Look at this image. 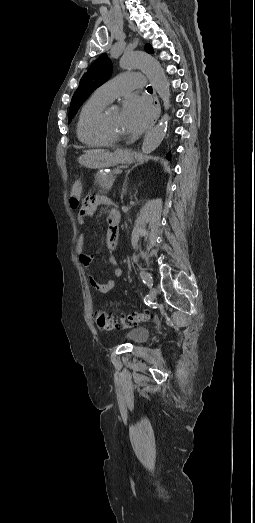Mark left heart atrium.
Instances as JSON below:
<instances>
[{
    "instance_id": "obj_1",
    "label": "left heart atrium",
    "mask_w": 255,
    "mask_h": 523,
    "mask_svg": "<svg viewBox=\"0 0 255 523\" xmlns=\"http://www.w3.org/2000/svg\"><path fill=\"white\" fill-rule=\"evenodd\" d=\"M124 112L129 120L132 133L138 134L151 120L153 108L148 99L131 96L125 102Z\"/></svg>"
}]
</instances>
